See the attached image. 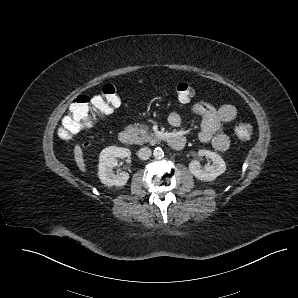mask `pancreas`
Instances as JSON below:
<instances>
[{
  "mask_svg": "<svg viewBox=\"0 0 298 298\" xmlns=\"http://www.w3.org/2000/svg\"><path fill=\"white\" fill-rule=\"evenodd\" d=\"M128 128L138 137L136 139V143L138 144L150 143L154 145L159 140V138L155 136V132L150 130L146 125L128 126Z\"/></svg>",
  "mask_w": 298,
  "mask_h": 298,
  "instance_id": "1",
  "label": "pancreas"
}]
</instances>
